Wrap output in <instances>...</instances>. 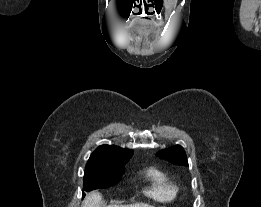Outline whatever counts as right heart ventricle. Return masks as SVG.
<instances>
[{
	"instance_id": "right-heart-ventricle-1",
	"label": "right heart ventricle",
	"mask_w": 261,
	"mask_h": 207,
	"mask_svg": "<svg viewBox=\"0 0 261 207\" xmlns=\"http://www.w3.org/2000/svg\"><path fill=\"white\" fill-rule=\"evenodd\" d=\"M146 175L151 182L147 195L158 201H171L178 192L179 186L171 175L158 167H150Z\"/></svg>"
}]
</instances>
